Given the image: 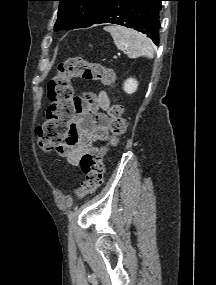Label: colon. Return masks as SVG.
<instances>
[{"instance_id": "colon-1", "label": "colon", "mask_w": 216, "mask_h": 285, "mask_svg": "<svg viewBox=\"0 0 216 285\" xmlns=\"http://www.w3.org/2000/svg\"><path fill=\"white\" fill-rule=\"evenodd\" d=\"M81 78L89 81H100L112 86L115 83L114 71L98 63H90L81 57L69 58L58 65L56 75L47 87L50 105L47 120L37 128V140L44 151L59 146L68 134L77 110L76 98L71 79ZM110 116V141L100 148L84 154L80 159V167L85 180L76 188L78 198L92 195L103 183V157L110 147L118 144L119 137L126 130L123 108L114 103L108 110Z\"/></svg>"}]
</instances>
